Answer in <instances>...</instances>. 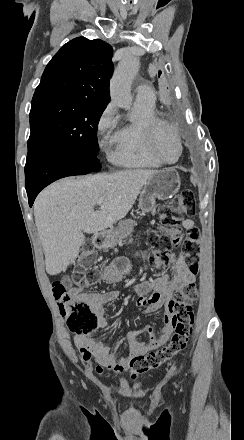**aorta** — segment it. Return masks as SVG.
<instances>
[{"mask_svg": "<svg viewBox=\"0 0 244 440\" xmlns=\"http://www.w3.org/2000/svg\"><path fill=\"white\" fill-rule=\"evenodd\" d=\"M139 70L136 57L124 58L116 68L110 81V96L120 108L129 109L132 104L131 84Z\"/></svg>", "mask_w": 244, "mask_h": 440, "instance_id": "obj_1", "label": "aorta"}]
</instances>
